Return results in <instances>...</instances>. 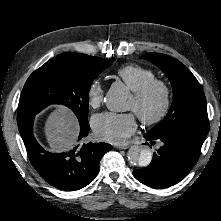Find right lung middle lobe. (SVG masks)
<instances>
[{"mask_svg":"<svg viewBox=\"0 0 221 221\" xmlns=\"http://www.w3.org/2000/svg\"><path fill=\"white\" fill-rule=\"evenodd\" d=\"M115 58L95 57L82 68L65 66L61 60L50 59L34 71L26 81L19 100L17 122L34 117L49 104H63L88 122V93L93 80Z\"/></svg>","mask_w":221,"mask_h":221,"instance_id":"1","label":"right lung middle lobe"}]
</instances>
